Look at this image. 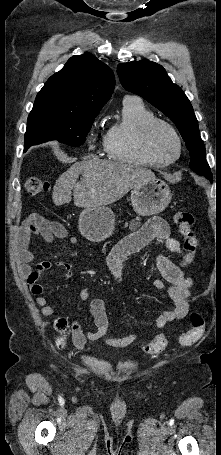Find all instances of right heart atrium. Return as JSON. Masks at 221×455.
<instances>
[{
    "mask_svg": "<svg viewBox=\"0 0 221 455\" xmlns=\"http://www.w3.org/2000/svg\"><path fill=\"white\" fill-rule=\"evenodd\" d=\"M95 125H96V121L93 122L92 127H94ZM89 147L91 149H94V143H93V137L92 136L89 138Z\"/></svg>",
    "mask_w": 221,
    "mask_h": 455,
    "instance_id": "obj_1",
    "label": "right heart atrium"
}]
</instances>
